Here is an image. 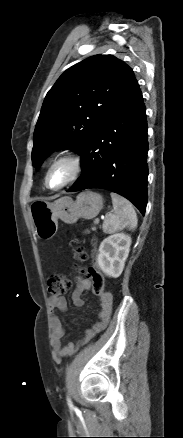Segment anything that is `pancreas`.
Returning <instances> with one entry per match:
<instances>
[{
	"label": "pancreas",
	"mask_w": 183,
	"mask_h": 438,
	"mask_svg": "<svg viewBox=\"0 0 183 438\" xmlns=\"http://www.w3.org/2000/svg\"><path fill=\"white\" fill-rule=\"evenodd\" d=\"M94 223H96V221H95ZM92 230H96V228H95V227H93V228H92ZM87 232H89V231H87Z\"/></svg>",
	"instance_id": "1"
}]
</instances>
